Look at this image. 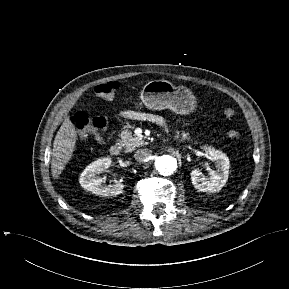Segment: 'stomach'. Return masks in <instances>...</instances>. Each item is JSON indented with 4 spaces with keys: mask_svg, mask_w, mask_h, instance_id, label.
Instances as JSON below:
<instances>
[{
    "mask_svg": "<svg viewBox=\"0 0 289 289\" xmlns=\"http://www.w3.org/2000/svg\"><path fill=\"white\" fill-rule=\"evenodd\" d=\"M140 99L148 109H170L180 115H187L196 107V98L188 88L175 87L167 80L149 81L143 87Z\"/></svg>",
    "mask_w": 289,
    "mask_h": 289,
    "instance_id": "0dacf381",
    "label": "stomach"
}]
</instances>
